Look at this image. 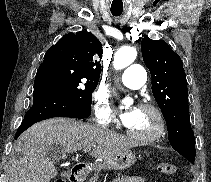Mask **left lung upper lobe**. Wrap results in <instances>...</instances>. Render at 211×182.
Listing matches in <instances>:
<instances>
[{"label":"left lung upper lobe","instance_id":"left-lung-upper-lobe-1","mask_svg":"<svg viewBox=\"0 0 211 182\" xmlns=\"http://www.w3.org/2000/svg\"><path fill=\"white\" fill-rule=\"evenodd\" d=\"M143 61L152 77L153 96L161 109L171 146L194 163L195 138L191 129L188 89L183 63L163 40L141 42Z\"/></svg>","mask_w":211,"mask_h":182}]
</instances>
